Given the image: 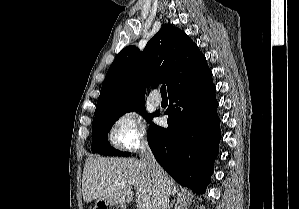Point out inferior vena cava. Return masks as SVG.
Here are the masks:
<instances>
[{
  "label": "inferior vena cava",
  "mask_w": 299,
  "mask_h": 209,
  "mask_svg": "<svg viewBox=\"0 0 299 209\" xmlns=\"http://www.w3.org/2000/svg\"><path fill=\"white\" fill-rule=\"evenodd\" d=\"M141 159L148 166L155 180L157 197L153 203V209H167L169 204V192L166 188L165 172L156 162L147 141L141 144Z\"/></svg>",
  "instance_id": "1"
}]
</instances>
